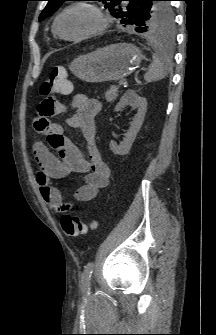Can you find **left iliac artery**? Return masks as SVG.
<instances>
[{"label": "left iliac artery", "mask_w": 216, "mask_h": 335, "mask_svg": "<svg viewBox=\"0 0 216 335\" xmlns=\"http://www.w3.org/2000/svg\"><path fill=\"white\" fill-rule=\"evenodd\" d=\"M93 267L94 263L89 262L84 267V272L82 276V286H83V292L86 296L90 294V281L93 273Z\"/></svg>", "instance_id": "obj_1"}]
</instances>
